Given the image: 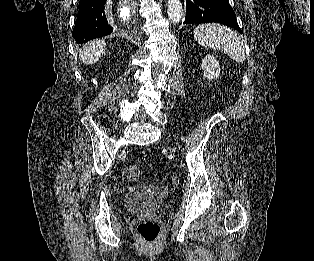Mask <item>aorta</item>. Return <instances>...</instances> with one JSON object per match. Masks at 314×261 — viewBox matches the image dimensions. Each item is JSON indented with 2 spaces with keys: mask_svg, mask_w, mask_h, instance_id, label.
<instances>
[{
  "mask_svg": "<svg viewBox=\"0 0 314 261\" xmlns=\"http://www.w3.org/2000/svg\"><path fill=\"white\" fill-rule=\"evenodd\" d=\"M167 13L171 22L178 23L183 15L182 4L180 0H168Z\"/></svg>",
  "mask_w": 314,
  "mask_h": 261,
  "instance_id": "1",
  "label": "aorta"
}]
</instances>
